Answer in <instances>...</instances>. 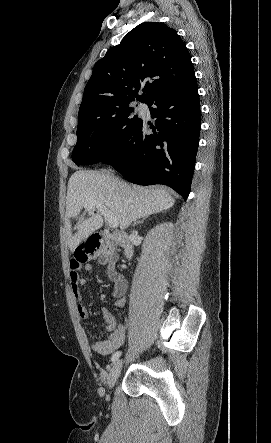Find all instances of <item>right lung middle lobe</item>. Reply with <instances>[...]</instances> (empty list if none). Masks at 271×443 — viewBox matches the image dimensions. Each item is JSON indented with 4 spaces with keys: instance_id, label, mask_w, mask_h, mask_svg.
<instances>
[{
    "instance_id": "1",
    "label": "right lung middle lobe",
    "mask_w": 271,
    "mask_h": 443,
    "mask_svg": "<svg viewBox=\"0 0 271 443\" xmlns=\"http://www.w3.org/2000/svg\"><path fill=\"white\" fill-rule=\"evenodd\" d=\"M133 115L134 108L126 104L98 118L78 119V140L72 160L77 165L111 160L121 143L142 122Z\"/></svg>"
}]
</instances>
